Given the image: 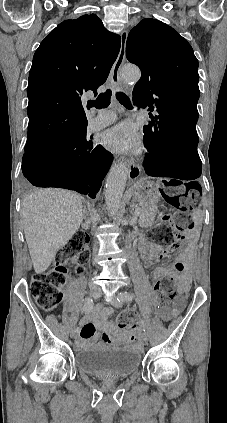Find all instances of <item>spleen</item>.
<instances>
[{
  "instance_id": "obj_1",
  "label": "spleen",
  "mask_w": 227,
  "mask_h": 423,
  "mask_svg": "<svg viewBox=\"0 0 227 423\" xmlns=\"http://www.w3.org/2000/svg\"><path fill=\"white\" fill-rule=\"evenodd\" d=\"M201 211H194L192 217L195 219V221H198V223H201V217H200Z\"/></svg>"
}]
</instances>
